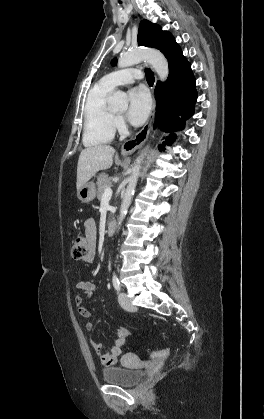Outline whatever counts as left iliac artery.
Wrapping results in <instances>:
<instances>
[{"mask_svg": "<svg viewBox=\"0 0 264 419\" xmlns=\"http://www.w3.org/2000/svg\"><path fill=\"white\" fill-rule=\"evenodd\" d=\"M112 282H113V286H114V288H115L117 291H120V290H121V285H120V282H119V280H118V278H117V276H116V274H115V273L113 274V277H112Z\"/></svg>", "mask_w": 264, "mask_h": 419, "instance_id": "left-iliac-artery-1", "label": "left iliac artery"}]
</instances>
